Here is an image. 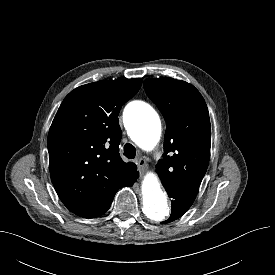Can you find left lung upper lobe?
I'll list each match as a JSON object with an SVG mask.
<instances>
[{
  "mask_svg": "<svg viewBox=\"0 0 275 275\" xmlns=\"http://www.w3.org/2000/svg\"><path fill=\"white\" fill-rule=\"evenodd\" d=\"M144 87L167 124L164 158L156 172L169 186L198 191L211 146L209 113L202 95L193 85L170 77L147 78Z\"/></svg>",
  "mask_w": 275,
  "mask_h": 275,
  "instance_id": "1",
  "label": "left lung upper lobe"
}]
</instances>
